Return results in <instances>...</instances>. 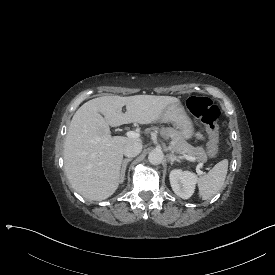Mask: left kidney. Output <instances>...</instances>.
I'll use <instances>...</instances> for the list:
<instances>
[{"instance_id": "left-kidney-1", "label": "left kidney", "mask_w": 275, "mask_h": 275, "mask_svg": "<svg viewBox=\"0 0 275 275\" xmlns=\"http://www.w3.org/2000/svg\"><path fill=\"white\" fill-rule=\"evenodd\" d=\"M169 180L176 195L183 199H188L195 191L198 176L192 171L172 169L169 174Z\"/></svg>"}]
</instances>
